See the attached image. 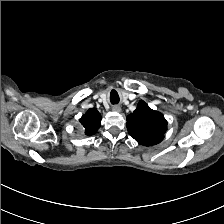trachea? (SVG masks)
Listing matches in <instances>:
<instances>
[{
  "instance_id": "trachea-1",
  "label": "trachea",
  "mask_w": 224,
  "mask_h": 224,
  "mask_svg": "<svg viewBox=\"0 0 224 224\" xmlns=\"http://www.w3.org/2000/svg\"><path fill=\"white\" fill-rule=\"evenodd\" d=\"M112 104H117L119 102V98H116L115 100H111Z\"/></svg>"
}]
</instances>
